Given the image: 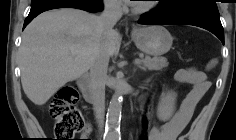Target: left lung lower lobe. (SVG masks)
<instances>
[{"instance_id": "left-lung-lower-lobe-1", "label": "left lung lower lobe", "mask_w": 236, "mask_h": 140, "mask_svg": "<svg viewBox=\"0 0 236 140\" xmlns=\"http://www.w3.org/2000/svg\"><path fill=\"white\" fill-rule=\"evenodd\" d=\"M138 23L145 25H194L212 32L224 44V30L219 16L193 12L164 14L160 10H155L144 14Z\"/></svg>"}]
</instances>
